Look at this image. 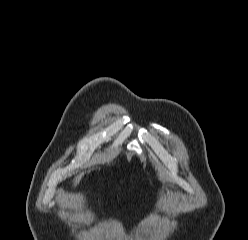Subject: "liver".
Masks as SVG:
<instances>
[{"label":"liver","mask_w":248,"mask_h":240,"mask_svg":"<svg viewBox=\"0 0 248 240\" xmlns=\"http://www.w3.org/2000/svg\"><path fill=\"white\" fill-rule=\"evenodd\" d=\"M82 176H83V174H80V175L75 177V179L73 181L75 186L80 182Z\"/></svg>","instance_id":"1"}]
</instances>
